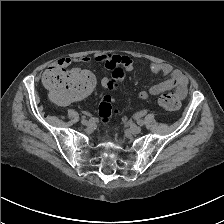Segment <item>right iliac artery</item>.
<instances>
[{"mask_svg":"<svg viewBox=\"0 0 224 224\" xmlns=\"http://www.w3.org/2000/svg\"><path fill=\"white\" fill-rule=\"evenodd\" d=\"M89 121H90L91 123H95V122H96V119H95L94 117H91V118L89 119Z\"/></svg>","mask_w":224,"mask_h":224,"instance_id":"obj_1","label":"right iliac artery"}]
</instances>
